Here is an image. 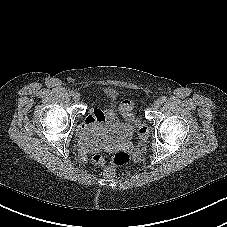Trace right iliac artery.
Segmentation results:
<instances>
[{"label":"right iliac artery","mask_w":227,"mask_h":227,"mask_svg":"<svg viewBox=\"0 0 227 227\" xmlns=\"http://www.w3.org/2000/svg\"><path fill=\"white\" fill-rule=\"evenodd\" d=\"M69 94H70L71 96H73V95H74V91H70Z\"/></svg>","instance_id":"1"}]
</instances>
